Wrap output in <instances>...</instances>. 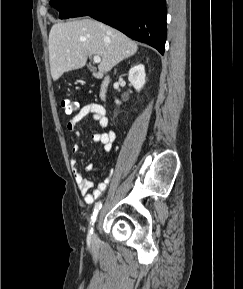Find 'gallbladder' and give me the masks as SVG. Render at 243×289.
I'll list each match as a JSON object with an SVG mask.
<instances>
[{
  "label": "gallbladder",
  "mask_w": 243,
  "mask_h": 289,
  "mask_svg": "<svg viewBox=\"0 0 243 289\" xmlns=\"http://www.w3.org/2000/svg\"><path fill=\"white\" fill-rule=\"evenodd\" d=\"M89 70H90V71H93V70H94V68L90 66V67H89Z\"/></svg>",
  "instance_id": "gallbladder-1"
}]
</instances>
